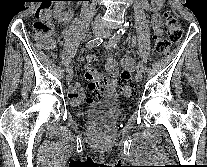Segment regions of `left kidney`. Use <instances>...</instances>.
I'll return each mask as SVG.
<instances>
[{
	"label": "left kidney",
	"instance_id": "5707ae66",
	"mask_svg": "<svg viewBox=\"0 0 207 167\" xmlns=\"http://www.w3.org/2000/svg\"><path fill=\"white\" fill-rule=\"evenodd\" d=\"M146 9H151V7H149V6H146Z\"/></svg>",
	"mask_w": 207,
	"mask_h": 167
}]
</instances>
